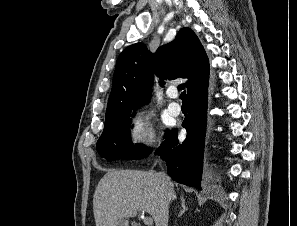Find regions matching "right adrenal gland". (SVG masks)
I'll use <instances>...</instances> for the list:
<instances>
[{
  "label": "right adrenal gland",
  "mask_w": 297,
  "mask_h": 226,
  "mask_svg": "<svg viewBox=\"0 0 297 226\" xmlns=\"http://www.w3.org/2000/svg\"><path fill=\"white\" fill-rule=\"evenodd\" d=\"M180 200H181L182 209L179 212V215H178L179 217L182 216L183 213L188 209V207L185 205V199L183 196H181Z\"/></svg>",
  "instance_id": "obj_1"
}]
</instances>
